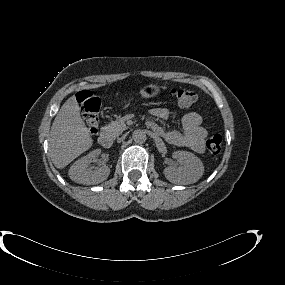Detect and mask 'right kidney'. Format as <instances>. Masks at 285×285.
Instances as JSON below:
<instances>
[{
    "label": "right kidney",
    "mask_w": 285,
    "mask_h": 285,
    "mask_svg": "<svg viewBox=\"0 0 285 285\" xmlns=\"http://www.w3.org/2000/svg\"><path fill=\"white\" fill-rule=\"evenodd\" d=\"M100 153L101 151L97 149L78 159L69 169L70 179L82 184H98L106 180L110 174L108 166L104 165L95 170L87 169V164L93 162L95 157Z\"/></svg>",
    "instance_id": "obj_1"
}]
</instances>
